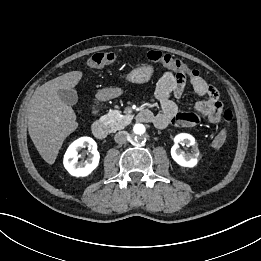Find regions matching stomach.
I'll return each mask as SVG.
<instances>
[{"mask_svg":"<svg viewBox=\"0 0 261 261\" xmlns=\"http://www.w3.org/2000/svg\"><path fill=\"white\" fill-rule=\"evenodd\" d=\"M153 71L151 65H140L127 74L126 80L134 84H143L150 80ZM121 94L122 90L120 88H105L97 93V98L101 101H106L116 98Z\"/></svg>","mask_w":261,"mask_h":261,"instance_id":"1","label":"stomach"}]
</instances>
